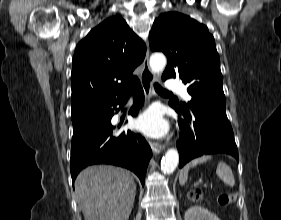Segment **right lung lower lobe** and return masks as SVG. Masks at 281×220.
Masks as SVG:
<instances>
[{
  "instance_id": "obj_1",
  "label": "right lung lower lobe",
  "mask_w": 281,
  "mask_h": 220,
  "mask_svg": "<svg viewBox=\"0 0 281 220\" xmlns=\"http://www.w3.org/2000/svg\"><path fill=\"white\" fill-rule=\"evenodd\" d=\"M137 88L139 95L129 111L132 116L138 114L144 100L142 88ZM125 102V97L119 98L92 113L72 120L70 171L73 181L89 165L112 164L133 171L144 185L147 165L152 156L150 146L140 134L131 131L118 133L111 125L114 109Z\"/></svg>"
}]
</instances>
